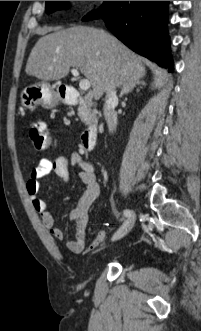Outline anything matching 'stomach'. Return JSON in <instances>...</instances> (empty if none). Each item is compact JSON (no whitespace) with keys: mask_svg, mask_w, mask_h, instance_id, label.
<instances>
[{"mask_svg":"<svg viewBox=\"0 0 201 331\" xmlns=\"http://www.w3.org/2000/svg\"><path fill=\"white\" fill-rule=\"evenodd\" d=\"M20 98L21 104L29 110H35L38 106L51 109L58 103L56 93L50 84L45 81L36 82L25 87Z\"/></svg>","mask_w":201,"mask_h":331,"instance_id":"1","label":"stomach"}]
</instances>
